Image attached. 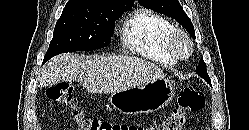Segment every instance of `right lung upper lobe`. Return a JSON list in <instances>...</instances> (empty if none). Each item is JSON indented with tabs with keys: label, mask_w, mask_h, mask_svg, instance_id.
Wrapping results in <instances>:
<instances>
[{
	"label": "right lung upper lobe",
	"mask_w": 249,
	"mask_h": 130,
	"mask_svg": "<svg viewBox=\"0 0 249 130\" xmlns=\"http://www.w3.org/2000/svg\"><path fill=\"white\" fill-rule=\"evenodd\" d=\"M114 4H134V0H69L64 9L96 11Z\"/></svg>",
	"instance_id": "1"
}]
</instances>
